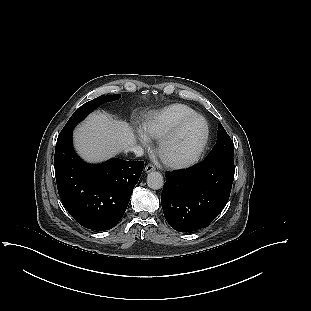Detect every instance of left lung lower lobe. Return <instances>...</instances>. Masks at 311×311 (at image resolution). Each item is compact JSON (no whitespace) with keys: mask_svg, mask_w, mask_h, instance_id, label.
<instances>
[{"mask_svg":"<svg viewBox=\"0 0 311 311\" xmlns=\"http://www.w3.org/2000/svg\"><path fill=\"white\" fill-rule=\"evenodd\" d=\"M234 163L204 160L181 173H167L161 195L164 216L180 232L207 227L225 207L234 180Z\"/></svg>","mask_w":311,"mask_h":311,"instance_id":"obj_1","label":"left lung lower lobe"}]
</instances>
